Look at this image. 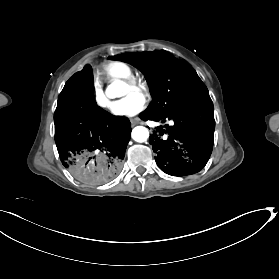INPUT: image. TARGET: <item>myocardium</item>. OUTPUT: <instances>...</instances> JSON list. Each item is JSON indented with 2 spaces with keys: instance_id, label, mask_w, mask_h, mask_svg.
I'll return each mask as SVG.
<instances>
[{
  "instance_id": "f54148a6",
  "label": "myocardium",
  "mask_w": 279,
  "mask_h": 279,
  "mask_svg": "<svg viewBox=\"0 0 279 279\" xmlns=\"http://www.w3.org/2000/svg\"><path fill=\"white\" fill-rule=\"evenodd\" d=\"M122 84L126 85L132 91H134L135 93H137L138 95H141V96H147V94L149 92V87H148L147 82L139 79L136 76H131V77H128V78L122 80Z\"/></svg>"
}]
</instances>
